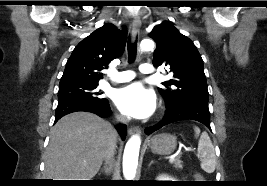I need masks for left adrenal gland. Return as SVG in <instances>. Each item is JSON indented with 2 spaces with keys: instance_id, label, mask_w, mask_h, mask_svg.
<instances>
[{
  "instance_id": "left-adrenal-gland-1",
  "label": "left adrenal gland",
  "mask_w": 267,
  "mask_h": 186,
  "mask_svg": "<svg viewBox=\"0 0 267 186\" xmlns=\"http://www.w3.org/2000/svg\"><path fill=\"white\" fill-rule=\"evenodd\" d=\"M152 163H154V161H153V160L150 162L149 166H151V164H152Z\"/></svg>"
}]
</instances>
